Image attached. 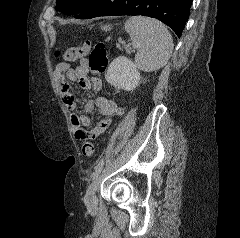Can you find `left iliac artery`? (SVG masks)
Listing matches in <instances>:
<instances>
[{"mask_svg": "<svg viewBox=\"0 0 240 238\" xmlns=\"http://www.w3.org/2000/svg\"><path fill=\"white\" fill-rule=\"evenodd\" d=\"M103 166H104V160L102 159L97 163V165L94 168V172L92 173L93 180L99 175V173L103 169Z\"/></svg>", "mask_w": 240, "mask_h": 238, "instance_id": "obj_1", "label": "left iliac artery"}]
</instances>
